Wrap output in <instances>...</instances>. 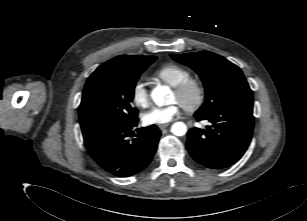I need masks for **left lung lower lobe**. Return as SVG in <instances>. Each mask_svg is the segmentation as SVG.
<instances>
[{"label":"left lung lower lobe","mask_w":307,"mask_h":221,"mask_svg":"<svg viewBox=\"0 0 307 221\" xmlns=\"http://www.w3.org/2000/svg\"><path fill=\"white\" fill-rule=\"evenodd\" d=\"M197 121L208 120L207 129L188 131L186 147L193 159L213 169L235 164L247 150L253 132L251 107H226L210 114H194Z\"/></svg>","instance_id":"obj_1"}]
</instances>
